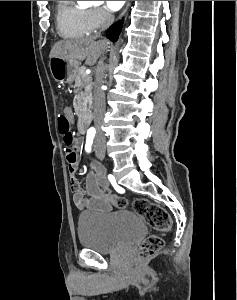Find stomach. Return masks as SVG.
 I'll return each mask as SVG.
<instances>
[{
  "mask_svg": "<svg viewBox=\"0 0 237 300\" xmlns=\"http://www.w3.org/2000/svg\"><path fill=\"white\" fill-rule=\"evenodd\" d=\"M49 67L53 79L58 83H73L78 71V63L66 61L61 57H51Z\"/></svg>",
  "mask_w": 237,
  "mask_h": 300,
  "instance_id": "0dacf381",
  "label": "stomach"
}]
</instances>
